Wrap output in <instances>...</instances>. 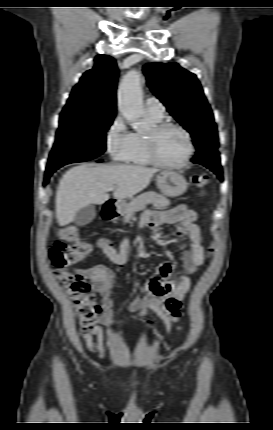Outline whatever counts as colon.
Masks as SVG:
<instances>
[{
    "mask_svg": "<svg viewBox=\"0 0 273 430\" xmlns=\"http://www.w3.org/2000/svg\"><path fill=\"white\" fill-rule=\"evenodd\" d=\"M193 183L200 189L209 184V177L205 174L193 177ZM91 245L79 238L78 230L74 226H67L60 230V239L50 249L49 259L57 279L62 282L70 294L77 313L82 333L87 334L94 326L102 311L101 305L91 293V285L87 278L78 273H72L68 267L81 261L91 252ZM212 248L209 249L211 251Z\"/></svg>",
    "mask_w": 273,
    "mask_h": 430,
    "instance_id": "5ec220e1",
    "label": "colon"
}]
</instances>
